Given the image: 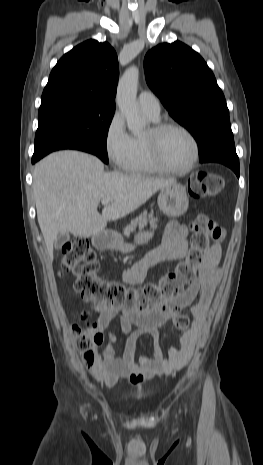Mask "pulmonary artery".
I'll list each match as a JSON object with an SVG mask.
<instances>
[{"mask_svg":"<svg viewBox=\"0 0 263 465\" xmlns=\"http://www.w3.org/2000/svg\"><path fill=\"white\" fill-rule=\"evenodd\" d=\"M138 105L140 110L152 118H159L160 103L157 97L149 91H142L138 96Z\"/></svg>","mask_w":263,"mask_h":465,"instance_id":"obj_1","label":"pulmonary artery"}]
</instances>
